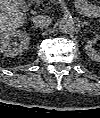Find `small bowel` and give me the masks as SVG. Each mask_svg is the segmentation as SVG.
<instances>
[{
	"label": "small bowel",
	"instance_id": "small-bowel-1",
	"mask_svg": "<svg viewBox=\"0 0 100 118\" xmlns=\"http://www.w3.org/2000/svg\"><path fill=\"white\" fill-rule=\"evenodd\" d=\"M75 6L78 11L87 15H93L97 9L96 5L86 0H75Z\"/></svg>",
	"mask_w": 100,
	"mask_h": 118
}]
</instances>
